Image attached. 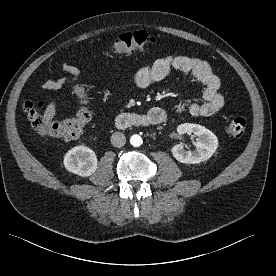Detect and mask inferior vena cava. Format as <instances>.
<instances>
[{"mask_svg": "<svg viewBox=\"0 0 276 276\" xmlns=\"http://www.w3.org/2000/svg\"><path fill=\"white\" fill-rule=\"evenodd\" d=\"M126 143V137L121 132H115L111 136V144L114 147L121 148Z\"/></svg>", "mask_w": 276, "mask_h": 276, "instance_id": "602c4592", "label": "inferior vena cava"}]
</instances>
